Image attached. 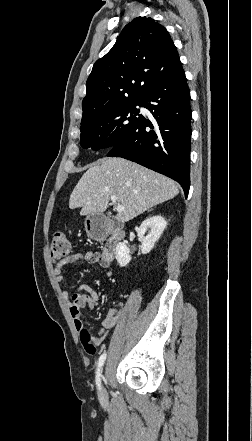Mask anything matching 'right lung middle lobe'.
<instances>
[{
    "instance_id": "right-lung-middle-lobe-1",
    "label": "right lung middle lobe",
    "mask_w": 252,
    "mask_h": 441,
    "mask_svg": "<svg viewBox=\"0 0 252 441\" xmlns=\"http://www.w3.org/2000/svg\"><path fill=\"white\" fill-rule=\"evenodd\" d=\"M137 106H142L141 100L100 112L81 123L82 147L99 150L119 143L130 134L142 118Z\"/></svg>"
}]
</instances>
